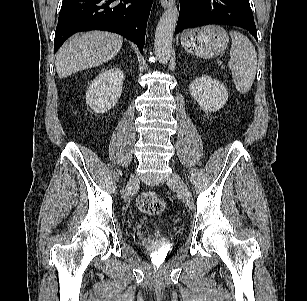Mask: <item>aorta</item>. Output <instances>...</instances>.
<instances>
[{
	"label": "aorta",
	"instance_id": "obj_1",
	"mask_svg": "<svg viewBox=\"0 0 307 301\" xmlns=\"http://www.w3.org/2000/svg\"><path fill=\"white\" fill-rule=\"evenodd\" d=\"M178 9L172 4L160 18L154 41V51L158 60L165 64L169 61L172 52L173 33L178 20Z\"/></svg>",
	"mask_w": 307,
	"mask_h": 301
}]
</instances>
